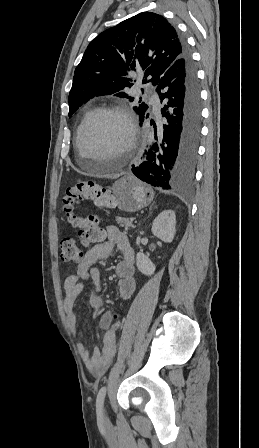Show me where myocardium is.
<instances>
[{"instance_id": "1", "label": "myocardium", "mask_w": 259, "mask_h": 448, "mask_svg": "<svg viewBox=\"0 0 259 448\" xmlns=\"http://www.w3.org/2000/svg\"><path fill=\"white\" fill-rule=\"evenodd\" d=\"M112 113L120 115L125 120L128 127V138L122 145H120L116 149L117 155H123L129 153L133 149L137 137V125L130 109L123 104L106 105L98 108L83 122L80 131L78 133V139H77L78 150L76 151L75 155L76 163L82 162V151L86 149L85 135L89 127L100 117Z\"/></svg>"}]
</instances>
